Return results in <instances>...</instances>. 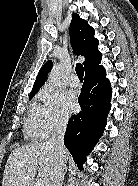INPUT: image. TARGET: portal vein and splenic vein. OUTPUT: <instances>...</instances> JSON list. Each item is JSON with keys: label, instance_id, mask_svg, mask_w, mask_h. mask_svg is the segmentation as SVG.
<instances>
[{"label": "portal vein and splenic vein", "instance_id": "1", "mask_svg": "<svg viewBox=\"0 0 138 186\" xmlns=\"http://www.w3.org/2000/svg\"><path fill=\"white\" fill-rule=\"evenodd\" d=\"M34 186H44L42 182L37 181Z\"/></svg>", "mask_w": 138, "mask_h": 186}]
</instances>
